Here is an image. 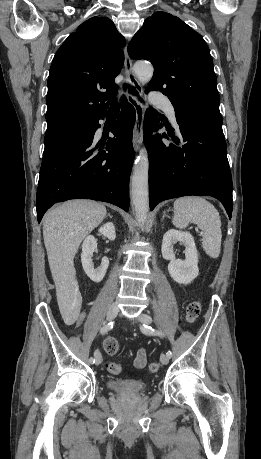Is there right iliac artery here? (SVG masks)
Wrapping results in <instances>:
<instances>
[{
	"mask_svg": "<svg viewBox=\"0 0 261 459\" xmlns=\"http://www.w3.org/2000/svg\"><path fill=\"white\" fill-rule=\"evenodd\" d=\"M112 328H113V322H109V323L105 324V325L100 329V333H101V334H105V333H107V332H108L110 329H112ZM96 354H97V351L94 353V356H96ZM89 362H90V363H94L95 360L91 357V358L89 359Z\"/></svg>",
	"mask_w": 261,
	"mask_h": 459,
	"instance_id": "1",
	"label": "right iliac artery"
}]
</instances>
